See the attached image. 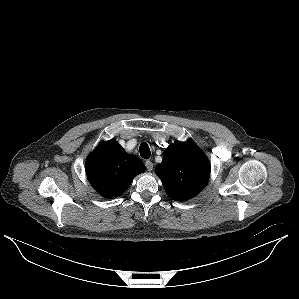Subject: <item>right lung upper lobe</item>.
Listing matches in <instances>:
<instances>
[{
    "instance_id": "1",
    "label": "right lung upper lobe",
    "mask_w": 299,
    "mask_h": 299,
    "mask_svg": "<svg viewBox=\"0 0 299 299\" xmlns=\"http://www.w3.org/2000/svg\"><path fill=\"white\" fill-rule=\"evenodd\" d=\"M145 169L144 163L137 156L127 154L115 140L101 143L86 161L89 182L106 198L121 195L134 177Z\"/></svg>"
}]
</instances>
